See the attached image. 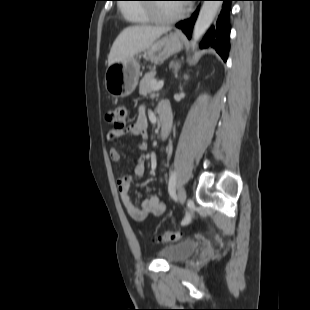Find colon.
<instances>
[{
    "mask_svg": "<svg viewBox=\"0 0 310 310\" xmlns=\"http://www.w3.org/2000/svg\"><path fill=\"white\" fill-rule=\"evenodd\" d=\"M127 108L125 105H117L109 109L106 113V120L113 125L116 130L126 129ZM181 230H173L155 235L154 240L157 242H175L182 238Z\"/></svg>",
    "mask_w": 310,
    "mask_h": 310,
    "instance_id": "5ec220e1",
    "label": "colon"
}]
</instances>
